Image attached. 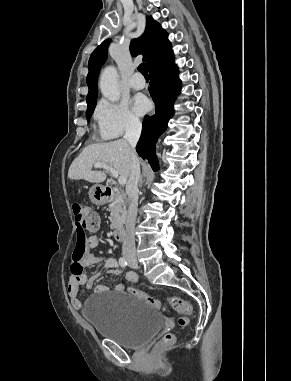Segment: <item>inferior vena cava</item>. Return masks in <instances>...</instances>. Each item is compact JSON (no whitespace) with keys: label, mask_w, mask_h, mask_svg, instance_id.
I'll return each instance as SVG.
<instances>
[{"label":"inferior vena cava","mask_w":291,"mask_h":381,"mask_svg":"<svg viewBox=\"0 0 291 381\" xmlns=\"http://www.w3.org/2000/svg\"><path fill=\"white\" fill-rule=\"evenodd\" d=\"M142 125L140 121L132 120L126 127L124 140L130 145L129 157H130V176L126 185V193L130 199V205L127 212L126 220V237L123 242L122 250L123 254H135V220L137 216L138 205V181L140 179V165L136 154V144L141 135Z\"/></svg>","instance_id":"inferior-vena-cava-1"}]
</instances>
